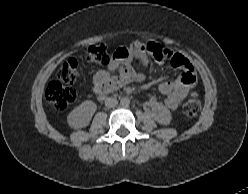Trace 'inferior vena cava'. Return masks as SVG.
<instances>
[{"mask_svg": "<svg viewBox=\"0 0 248 194\" xmlns=\"http://www.w3.org/2000/svg\"><path fill=\"white\" fill-rule=\"evenodd\" d=\"M117 104H118V101L116 98L109 97V98H106L105 100V106L108 108L116 107Z\"/></svg>", "mask_w": 248, "mask_h": 194, "instance_id": "602c4592", "label": "inferior vena cava"}]
</instances>
